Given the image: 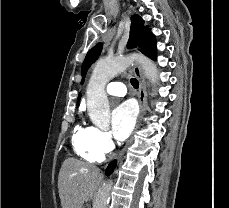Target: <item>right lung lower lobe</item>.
I'll return each mask as SVG.
<instances>
[{
  "mask_svg": "<svg viewBox=\"0 0 229 208\" xmlns=\"http://www.w3.org/2000/svg\"><path fill=\"white\" fill-rule=\"evenodd\" d=\"M115 166H116V161H113L108 165V167L106 169V175L107 176L110 175L113 172Z\"/></svg>",
  "mask_w": 229,
  "mask_h": 208,
  "instance_id": "98d812e1",
  "label": "right lung lower lobe"
}]
</instances>
